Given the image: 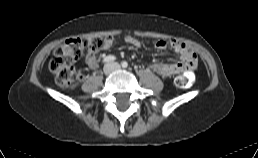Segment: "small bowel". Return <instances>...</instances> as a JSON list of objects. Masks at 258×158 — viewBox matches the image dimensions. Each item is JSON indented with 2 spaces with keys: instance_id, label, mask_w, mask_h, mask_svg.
I'll use <instances>...</instances> for the list:
<instances>
[{
  "instance_id": "1",
  "label": "small bowel",
  "mask_w": 258,
  "mask_h": 158,
  "mask_svg": "<svg viewBox=\"0 0 258 158\" xmlns=\"http://www.w3.org/2000/svg\"><path fill=\"white\" fill-rule=\"evenodd\" d=\"M105 49L113 47L115 41L113 37H106ZM126 43L129 45L139 48L141 43L138 39L132 36L125 38ZM170 47L181 57L180 63H168V62H156L151 64L149 67L158 75L163 77H169L186 72H192L197 63V56L194 51L185 43L175 39L169 38L166 40H160L155 44V48L158 50ZM87 66L90 69H95L98 66V61L95 55H89L85 59Z\"/></svg>"
}]
</instances>
